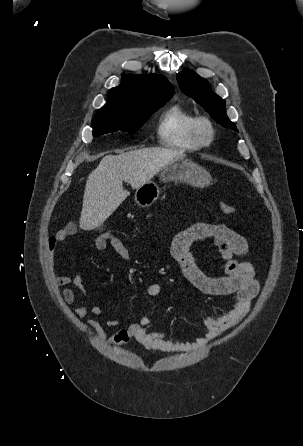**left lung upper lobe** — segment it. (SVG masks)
<instances>
[{"mask_svg":"<svg viewBox=\"0 0 303 446\" xmlns=\"http://www.w3.org/2000/svg\"><path fill=\"white\" fill-rule=\"evenodd\" d=\"M180 89L199 103L211 117L224 127L236 129L226 115L225 101L211 91L208 81L188 69L177 74Z\"/></svg>","mask_w":303,"mask_h":446,"instance_id":"1","label":"left lung upper lobe"}]
</instances>
